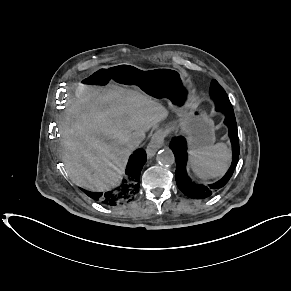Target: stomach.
I'll use <instances>...</instances> for the list:
<instances>
[{
	"label": "stomach",
	"instance_id": "1",
	"mask_svg": "<svg viewBox=\"0 0 291 291\" xmlns=\"http://www.w3.org/2000/svg\"><path fill=\"white\" fill-rule=\"evenodd\" d=\"M115 83L138 89L153 100H166L179 117V125L192 149L214 143L213 122L197 108L192 83L184 71L171 67L142 69L130 64L102 65L94 70L93 75L80 79L82 86L90 84L102 90L112 88Z\"/></svg>",
	"mask_w": 291,
	"mask_h": 291
}]
</instances>
